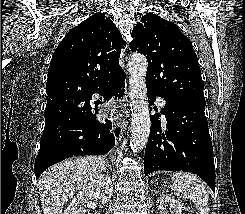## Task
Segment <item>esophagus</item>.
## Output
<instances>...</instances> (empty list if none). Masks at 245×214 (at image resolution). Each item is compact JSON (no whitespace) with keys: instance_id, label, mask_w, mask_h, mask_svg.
Instances as JSON below:
<instances>
[{"instance_id":"34e87169","label":"esophagus","mask_w":245,"mask_h":214,"mask_svg":"<svg viewBox=\"0 0 245 214\" xmlns=\"http://www.w3.org/2000/svg\"><path fill=\"white\" fill-rule=\"evenodd\" d=\"M121 104L126 108L128 107V99L127 96L125 95V97L121 100ZM125 115L120 114L117 120V123L115 124L114 128H113V134L115 137V143L116 145L119 144V142L122 139L123 136V127L125 124V118L123 116H125L126 118L129 116L128 111L126 110L124 112Z\"/></svg>"}]
</instances>
